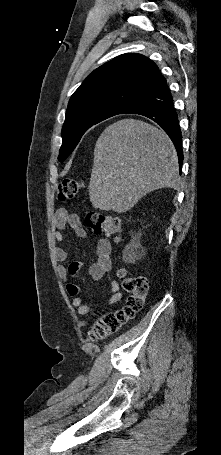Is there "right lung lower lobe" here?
I'll return each mask as SVG.
<instances>
[{"instance_id":"obj_1","label":"right lung lower lobe","mask_w":221,"mask_h":455,"mask_svg":"<svg viewBox=\"0 0 221 455\" xmlns=\"http://www.w3.org/2000/svg\"><path fill=\"white\" fill-rule=\"evenodd\" d=\"M121 114H140L158 123L171 138L181 166L184 158L182 135L178 115L164 77L161 76L148 94L125 108Z\"/></svg>"}]
</instances>
